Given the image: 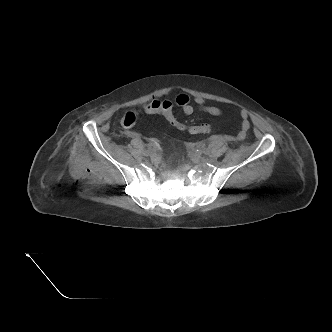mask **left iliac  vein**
<instances>
[{"label": "left iliac vein", "mask_w": 332, "mask_h": 332, "mask_svg": "<svg viewBox=\"0 0 332 332\" xmlns=\"http://www.w3.org/2000/svg\"><path fill=\"white\" fill-rule=\"evenodd\" d=\"M190 155H191L192 161H194V162H200L203 160V157L201 155L197 154L196 152H192Z\"/></svg>", "instance_id": "1"}]
</instances>
